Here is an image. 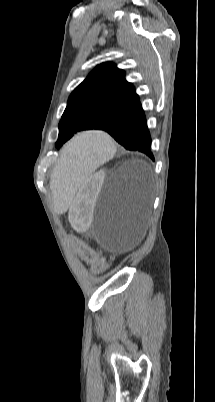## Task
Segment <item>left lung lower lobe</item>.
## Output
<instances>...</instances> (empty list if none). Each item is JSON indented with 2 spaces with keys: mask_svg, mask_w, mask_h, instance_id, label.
Instances as JSON below:
<instances>
[{
  "mask_svg": "<svg viewBox=\"0 0 215 402\" xmlns=\"http://www.w3.org/2000/svg\"><path fill=\"white\" fill-rule=\"evenodd\" d=\"M96 129L108 132L126 149L143 152L154 160L151 152V137L139 98Z\"/></svg>",
  "mask_w": 215,
  "mask_h": 402,
  "instance_id": "obj_1",
  "label": "left lung lower lobe"
}]
</instances>
